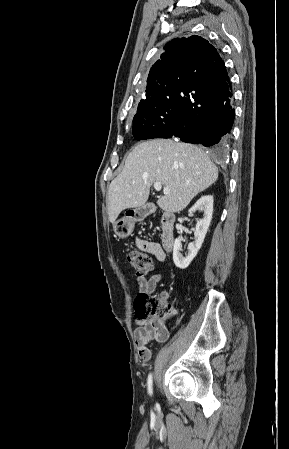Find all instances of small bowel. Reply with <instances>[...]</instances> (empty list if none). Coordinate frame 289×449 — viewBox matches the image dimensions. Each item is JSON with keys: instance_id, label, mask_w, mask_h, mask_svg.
I'll return each mask as SVG.
<instances>
[{"instance_id": "small-bowel-1", "label": "small bowel", "mask_w": 289, "mask_h": 449, "mask_svg": "<svg viewBox=\"0 0 289 449\" xmlns=\"http://www.w3.org/2000/svg\"><path fill=\"white\" fill-rule=\"evenodd\" d=\"M136 245L140 250L154 255L159 261H165V253L158 243L137 238ZM163 278V273H155L150 276L139 275L137 278L139 294H152ZM134 323L137 325L134 338L139 357L141 360L147 361L151 356L149 344L155 341L164 342L168 338V331L156 329L150 321L139 315L136 316Z\"/></svg>"}]
</instances>
